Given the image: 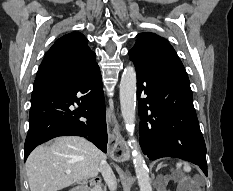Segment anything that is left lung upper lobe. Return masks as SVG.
<instances>
[{"instance_id": "1", "label": "left lung upper lobe", "mask_w": 233, "mask_h": 191, "mask_svg": "<svg viewBox=\"0 0 233 191\" xmlns=\"http://www.w3.org/2000/svg\"><path fill=\"white\" fill-rule=\"evenodd\" d=\"M130 59L138 65L174 75L189 82L185 68L175 50L164 38L149 32L137 35V42L129 50Z\"/></svg>"}]
</instances>
